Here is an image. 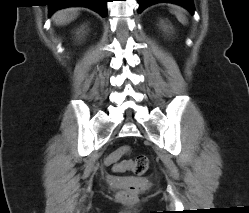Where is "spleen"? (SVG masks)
<instances>
[{
	"label": "spleen",
	"mask_w": 249,
	"mask_h": 213,
	"mask_svg": "<svg viewBox=\"0 0 249 213\" xmlns=\"http://www.w3.org/2000/svg\"><path fill=\"white\" fill-rule=\"evenodd\" d=\"M172 13L176 15L179 22H181L184 25L187 24V19L183 14L181 8L177 7L176 9L172 10Z\"/></svg>",
	"instance_id": "3e777b00"
}]
</instances>
